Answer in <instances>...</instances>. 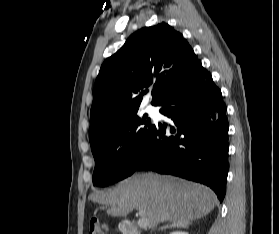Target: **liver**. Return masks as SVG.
I'll return each mask as SVG.
<instances>
[{"label":"liver","instance_id":"liver-1","mask_svg":"<svg viewBox=\"0 0 279 234\" xmlns=\"http://www.w3.org/2000/svg\"><path fill=\"white\" fill-rule=\"evenodd\" d=\"M90 199L110 205L108 213L125 217L134 209L143 211L151 228L159 222H190L210 213L217 204L208 187L172 176L144 173L121 181L108 192Z\"/></svg>","mask_w":279,"mask_h":234}]
</instances>
